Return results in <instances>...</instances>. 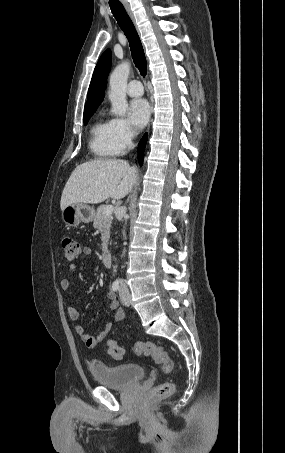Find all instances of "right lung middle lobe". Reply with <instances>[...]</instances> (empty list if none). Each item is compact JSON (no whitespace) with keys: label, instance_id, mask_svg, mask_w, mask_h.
<instances>
[{"label":"right lung middle lobe","instance_id":"1","mask_svg":"<svg viewBox=\"0 0 285 453\" xmlns=\"http://www.w3.org/2000/svg\"><path fill=\"white\" fill-rule=\"evenodd\" d=\"M94 112H95V110L84 113L83 116H84V123L85 124H87V122L89 121L90 117L93 115Z\"/></svg>","mask_w":285,"mask_h":453}]
</instances>
